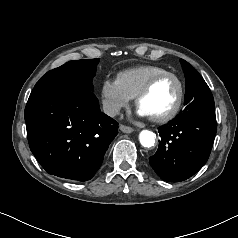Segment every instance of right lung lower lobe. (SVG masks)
Masks as SVG:
<instances>
[{"label": "right lung lower lobe", "mask_w": 238, "mask_h": 238, "mask_svg": "<svg viewBox=\"0 0 238 238\" xmlns=\"http://www.w3.org/2000/svg\"><path fill=\"white\" fill-rule=\"evenodd\" d=\"M24 116L38 162L70 180L91 179L118 133V123L100 111L94 93L78 85L33 89Z\"/></svg>", "instance_id": "1"}]
</instances>
